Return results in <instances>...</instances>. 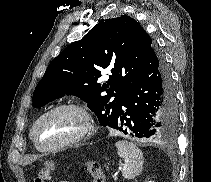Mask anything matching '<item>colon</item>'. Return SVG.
Wrapping results in <instances>:
<instances>
[{"instance_id":"5ec220e1","label":"colon","mask_w":211,"mask_h":182,"mask_svg":"<svg viewBox=\"0 0 211 182\" xmlns=\"http://www.w3.org/2000/svg\"><path fill=\"white\" fill-rule=\"evenodd\" d=\"M84 168L88 175L93 179V182H107L101 166L96 161H88L85 163ZM55 170L53 164L46 165L37 175L35 182H47L50 178V174Z\"/></svg>"}]
</instances>
